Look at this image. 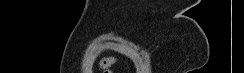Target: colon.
<instances>
[{
	"label": "colon",
	"mask_w": 244,
	"mask_h": 73,
	"mask_svg": "<svg viewBox=\"0 0 244 73\" xmlns=\"http://www.w3.org/2000/svg\"><path fill=\"white\" fill-rule=\"evenodd\" d=\"M114 64V58L112 57H104L100 61V68L102 73H110V69Z\"/></svg>",
	"instance_id": "5ec220e1"
}]
</instances>
